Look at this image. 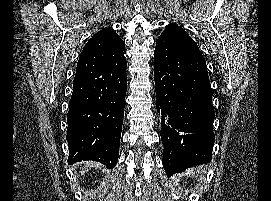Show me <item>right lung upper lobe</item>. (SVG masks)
Returning <instances> with one entry per match:
<instances>
[{
	"instance_id": "right-lung-upper-lobe-1",
	"label": "right lung upper lobe",
	"mask_w": 271,
	"mask_h": 201,
	"mask_svg": "<svg viewBox=\"0 0 271 201\" xmlns=\"http://www.w3.org/2000/svg\"><path fill=\"white\" fill-rule=\"evenodd\" d=\"M98 33L110 35L112 38L119 37L111 28L102 29Z\"/></svg>"
}]
</instances>
